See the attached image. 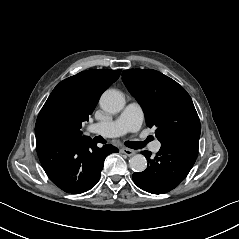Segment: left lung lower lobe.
<instances>
[{"instance_id":"1","label":"left lung lower lobe","mask_w":239,"mask_h":239,"mask_svg":"<svg viewBox=\"0 0 239 239\" xmlns=\"http://www.w3.org/2000/svg\"><path fill=\"white\" fill-rule=\"evenodd\" d=\"M142 154L149 161L147 169L133 174L134 183L152 194H163L177 187L188 175L198 154V142L174 141L162 144L157 155Z\"/></svg>"}]
</instances>
